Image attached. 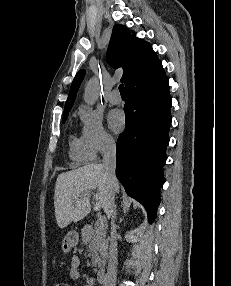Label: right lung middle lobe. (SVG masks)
<instances>
[{"mask_svg":"<svg viewBox=\"0 0 231 286\" xmlns=\"http://www.w3.org/2000/svg\"><path fill=\"white\" fill-rule=\"evenodd\" d=\"M68 115H63V123L66 121Z\"/></svg>","mask_w":231,"mask_h":286,"instance_id":"obj_1","label":"right lung middle lobe"}]
</instances>
